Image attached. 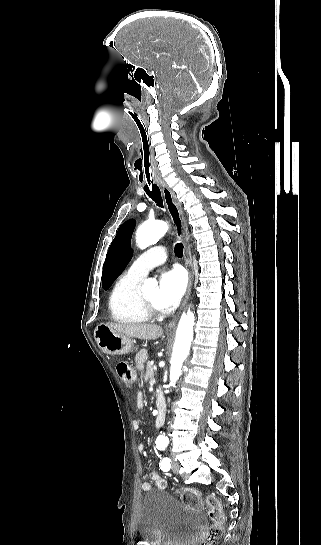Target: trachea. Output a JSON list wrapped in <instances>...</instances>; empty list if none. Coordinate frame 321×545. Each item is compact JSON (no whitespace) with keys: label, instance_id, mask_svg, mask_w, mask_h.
I'll return each mask as SVG.
<instances>
[{"label":"trachea","instance_id":"3493384b","mask_svg":"<svg viewBox=\"0 0 321 545\" xmlns=\"http://www.w3.org/2000/svg\"><path fill=\"white\" fill-rule=\"evenodd\" d=\"M129 115L132 113L130 110L127 112ZM137 114L132 113L130 115V118L132 119L133 123H135V126L137 127L138 133L141 134L140 139L141 143L143 144V174L145 175V186L144 190L157 204L158 207L163 208V199L161 196V192L159 188L156 186L157 184V176L155 174H152V168L154 166V158L153 153L151 152L149 135L148 131L145 128V125L142 124L141 120H138ZM183 245L182 243H177L175 245L174 251L175 255L179 258L183 255Z\"/></svg>","mask_w":321,"mask_h":545}]
</instances>
